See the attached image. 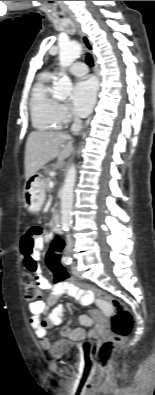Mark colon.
Here are the masks:
<instances>
[{"label": "colon", "instance_id": "obj_1", "mask_svg": "<svg viewBox=\"0 0 155 395\" xmlns=\"http://www.w3.org/2000/svg\"><path fill=\"white\" fill-rule=\"evenodd\" d=\"M53 239L54 244H49L48 249L45 251L46 255L43 256V261L46 262V266L49 267L51 272V278H56L55 283L60 285L61 288L63 283H74L77 285L79 280L72 278L71 272H64L59 262L58 252L63 251V245L66 243L65 238H58L57 235H54ZM27 263H31V260L28 259ZM23 286L25 298L29 303L41 298V287L36 277L30 271L23 276ZM81 286L86 288L88 283L83 281ZM88 290L97 296H101L102 300H108L109 304H113V313L111 315L112 335L110 338L99 342L95 349L96 363L100 368L105 369L111 364L114 354L124 339L131 333L134 317L127 306L119 299L104 294L101 289L93 285H90Z\"/></svg>", "mask_w": 155, "mask_h": 395}]
</instances>
